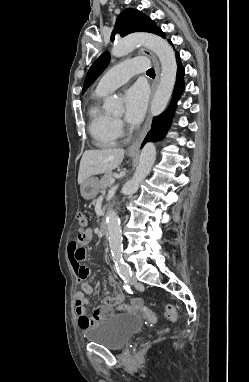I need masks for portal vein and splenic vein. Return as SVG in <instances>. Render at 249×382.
Wrapping results in <instances>:
<instances>
[{"label":"portal vein and splenic vein","mask_w":249,"mask_h":382,"mask_svg":"<svg viewBox=\"0 0 249 382\" xmlns=\"http://www.w3.org/2000/svg\"><path fill=\"white\" fill-rule=\"evenodd\" d=\"M114 182H115V179L112 178V179L110 180V185L114 184Z\"/></svg>","instance_id":"obj_1"}]
</instances>
